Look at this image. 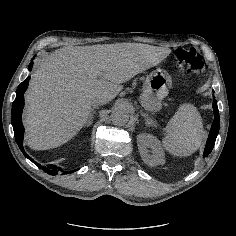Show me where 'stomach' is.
<instances>
[{"label":"stomach","mask_w":236,"mask_h":236,"mask_svg":"<svg viewBox=\"0 0 236 236\" xmlns=\"http://www.w3.org/2000/svg\"><path fill=\"white\" fill-rule=\"evenodd\" d=\"M171 86V77L165 70H154L146 77L143 84L142 106L151 112L159 111L161 109V101L168 95Z\"/></svg>","instance_id":"stomach-1"}]
</instances>
